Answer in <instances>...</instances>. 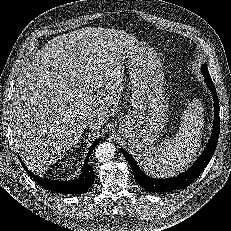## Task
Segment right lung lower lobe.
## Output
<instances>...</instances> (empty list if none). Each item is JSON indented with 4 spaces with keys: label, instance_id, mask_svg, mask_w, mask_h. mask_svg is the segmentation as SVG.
<instances>
[{
    "label": "right lung lower lobe",
    "instance_id": "98d812e1",
    "mask_svg": "<svg viewBox=\"0 0 231 231\" xmlns=\"http://www.w3.org/2000/svg\"><path fill=\"white\" fill-rule=\"evenodd\" d=\"M100 139L98 138L89 148V154L86 157L84 162V167L82 173L78 179L72 181H59V180H51L46 178H40L30 172L25 164L20 160L21 164L23 165L25 171L41 186L44 188L56 191L60 193H67V194H81L85 192L92 184L95 179L94 172L88 164V159L90 153L93 149L97 146Z\"/></svg>",
    "mask_w": 231,
    "mask_h": 231
}]
</instances>
